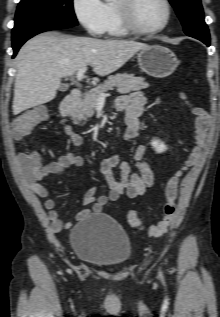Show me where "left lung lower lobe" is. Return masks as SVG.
Instances as JSON below:
<instances>
[{
  "label": "left lung lower lobe",
  "instance_id": "obj_1",
  "mask_svg": "<svg viewBox=\"0 0 220 317\" xmlns=\"http://www.w3.org/2000/svg\"><path fill=\"white\" fill-rule=\"evenodd\" d=\"M187 35L202 41L207 46L210 45V37H209V35H198V34H187Z\"/></svg>",
  "mask_w": 220,
  "mask_h": 317
}]
</instances>
